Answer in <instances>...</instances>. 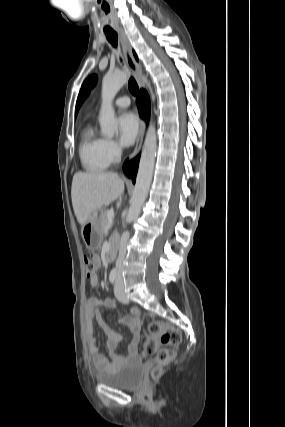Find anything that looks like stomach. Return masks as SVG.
Instances as JSON below:
<instances>
[{
	"label": "stomach",
	"mask_w": 285,
	"mask_h": 427,
	"mask_svg": "<svg viewBox=\"0 0 285 427\" xmlns=\"http://www.w3.org/2000/svg\"><path fill=\"white\" fill-rule=\"evenodd\" d=\"M102 210L94 211L86 224L82 227L81 234L86 246L90 249L99 248L102 241V233L99 230V220Z\"/></svg>",
	"instance_id": "stomach-1"
}]
</instances>
